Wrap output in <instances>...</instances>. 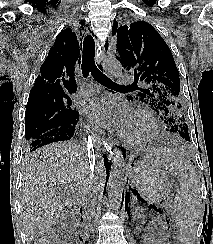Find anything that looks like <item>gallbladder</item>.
<instances>
[{
	"instance_id": "1",
	"label": "gallbladder",
	"mask_w": 213,
	"mask_h": 244,
	"mask_svg": "<svg viewBox=\"0 0 213 244\" xmlns=\"http://www.w3.org/2000/svg\"><path fill=\"white\" fill-rule=\"evenodd\" d=\"M56 222H57V224H62V223H66L67 220H66V218H59Z\"/></svg>"
}]
</instances>
